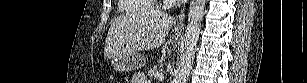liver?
<instances>
[{
    "instance_id": "obj_1",
    "label": "liver",
    "mask_w": 307,
    "mask_h": 83,
    "mask_svg": "<svg viewBox=\"0 0 307 83\" xmlns=\"http://www.w3.org/2000/svg\"><path fill=\"white\" fill-rule=\"evenodd\" d=\"M174 23V18L157 11L126 14L110 26L104 58L133 54L159 47Z\"/></svg>"
}]
</instances>
